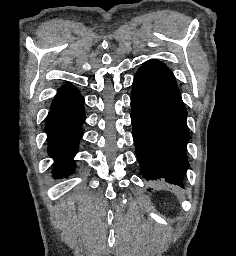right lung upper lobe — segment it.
Segmentation results:
<instances>
[{
  "mask_svg": "<svg viewBox=\"0 0 236 256\" xmlns=\"http://www.w3.org/2000/svg\"><path fill=\"white\" fill-rule=\"evenodd\" d=\"M70 85H71V84L66 83V84L62 87V89H60L58 92H60L61 90L65 89L66 87H68V86H70Z\"/></svg>",
  "mask_w": 236,
  "mask_h": 256,
  "instance_id": "cb5924a9",
  "label": "right lung upper lobe"
}]
</instances>
